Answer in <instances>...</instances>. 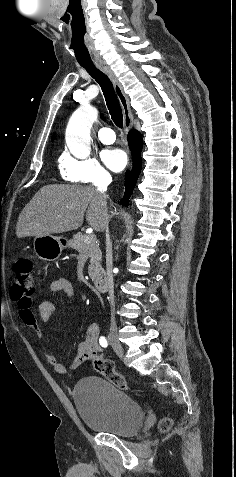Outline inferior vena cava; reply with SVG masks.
<instances>
[{"mask_svg":"<svg viewBox=\"0 0 236 477\" xmlns=\"http://www.w3.org/2000/svg\"><path fill=\"white\" fill-rule=\"evenodd\" d=\"M111 182L110 177H106L95 183L96 191L100 194L101 199L104 203L105 209L103 212V230L106 231V271H107V281L109 287V301L110 304L113 306L114 303V281H113V261H112V246L109 234V227H108V214H107V195L106 190L108 184ZM112 324H115V319L112 314L111 317Z\"/></svg>","mask_w":236,"mask_h":477,"instance_id":"obj_1","label":"inferior vena cava"}]
</instances>
